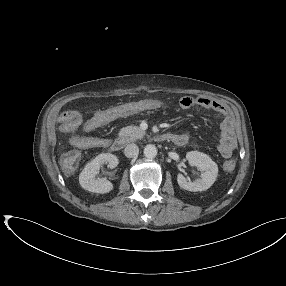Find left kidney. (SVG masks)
<instances>
[{
    "mask_svg": "<svg viewBox=\"0 0 286 286\" xmlns=\"http://www.w3.org/2000/svg\"><path fill=\"white\" fill-rule=\"evenodd\" d=\"M186 159L191 166L197 167L201 172V178L196 181H188L182 174L177 175L179 186L188 191H205L212 186L218 175V166L212 159L202 152L191 151L186 154Z\"/></svg>",
    "mask_w": 286,
    "mask_h": 286,
    "instance_id": "obj_1",
    "label": "left kidney"
}]
</instances>
